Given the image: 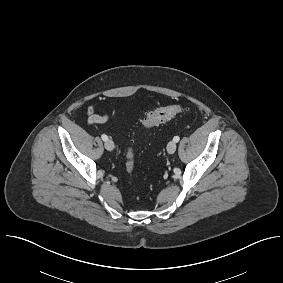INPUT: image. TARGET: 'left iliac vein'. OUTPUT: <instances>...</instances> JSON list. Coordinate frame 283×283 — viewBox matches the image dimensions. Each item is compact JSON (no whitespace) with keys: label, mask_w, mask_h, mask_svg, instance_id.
<instances>
[{"label":"left iliac vein","mask_w":283,"mask_h":283,"mask_svg":"<svg viewBox=\"0 0 283 283\" xmlns=\"http://www.w3.org/2000/svg\"><path fill=\"white\" fill-rule=\"evenodd\" d=\"M176 148H177V144L174 140L170 141L167 145V151L169 154H173L176 151Z\"/></svg>","instance_id":"4c4485c4"}]
</instances>
